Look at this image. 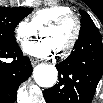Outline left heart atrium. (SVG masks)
<instances>
[{"label":"left heart atrium","instance_id":"left-heart-atrium-1","mask_svg":"<svg viewBox=\"0 0 103 103\" xmlns=\"http://www.w3.org/2000/svg\"><path fill=\"white\" fill-rule=\"evenodd\" d=\"M23 50L26 54L37 58H48L54 55L57 51L49 38H41L39 40L28 42Z\"/></svg>","mask_w":103,"mask_h":103}]
</instances>
